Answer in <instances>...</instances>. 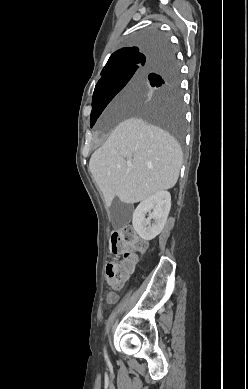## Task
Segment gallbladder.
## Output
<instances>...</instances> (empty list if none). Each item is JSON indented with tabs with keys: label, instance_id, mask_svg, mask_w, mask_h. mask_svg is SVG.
Returning <instances> with one entry per match:
<instances>
[{
	"label": "gallbladder",
	"instance_id": "bac80fb5",
	"mask_svg": "<svg viewBox=\"0 0 248 389\" xmlns=\"http://www.w3.org/2000/svg\"><path fill=\"white\" fill-rule=\"evenodd\" d=\"M130 209V205L121 203V201L117 198L112 202V211L114 214L118 215L120 221L122 222L128 221Z\"/></svg>",
	"mask_w": 248,
	"mask_h": 389
}]
</instances>
